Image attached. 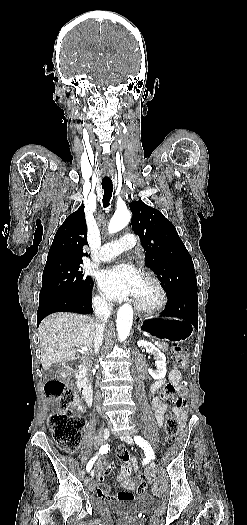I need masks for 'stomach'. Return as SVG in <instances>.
Here are the masks:
<instances>
[{"label": "stomach", "instance_id": "obj_1", "mask_svg": "<svg viewBox=\"0 0 247 525\" xmlns=\"http://www.w3.org/2000/svg\"><path fill=\"white\" fill-rule=\"evenodd\" d=\"M138 328L151 338L171 343L183 342L190 335L192 329L183 320L158 316L143 320Z\"/></svg>", "mask_w": 247, "mask_h": 525}]
</instances>
